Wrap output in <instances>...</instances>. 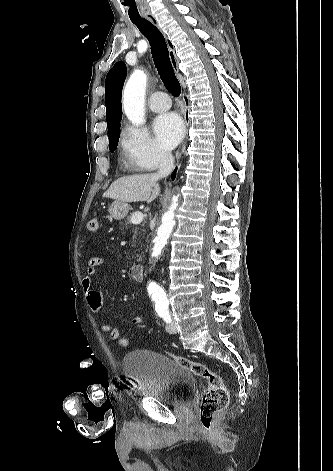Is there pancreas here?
Segmentation results:
<instances>
[{
	"label": "pancreas",
	"mask_w": 333,
	"mask_h": 471,
	"mask_svg": "<svg viewBox=\"0 0 333 471\" xmlns=\"http://www.w3.org/2000/svg\"><path fill=\"white\" fill-rule=\"evenodd\" d=\"M132 215H133V214H131V216H132ZM131 216H129V217L126 218V220H125V222H124V224H123V226H122V229H123V230H124V229H125V230L128 229V225L131 223ZM137 229H138V228L136 227L135 230L133 231L135 235H137Z\"/></svg>",
	"instance_id": "cf45deb5"
}]
</instances>
